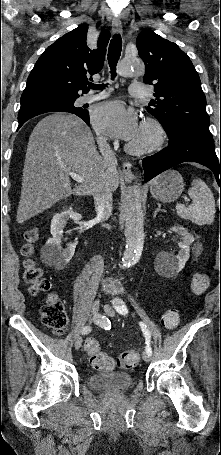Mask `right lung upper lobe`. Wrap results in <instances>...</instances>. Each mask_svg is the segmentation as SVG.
<instances>
[{
  "mask_svg": "<svg viewBox=\"0 0 221 455\" xmlns=\"http://www.w3.org/2000/svg\"><path fill=\"white\" fill-rule=\"evenodd\" d=\"M88 25L63 35L49 46L31 71L21 96V111L48 108L87 93L88 78L101 71L110 33L102 30L98 49L86 43ZM92 80V77H90Z\"/></svg>",
  "mask_w": 221,
  "mask_h": 455,
  "instance_id": "cb5924a9",
  "label": "right lung upper lobe"
}]
</instances>
